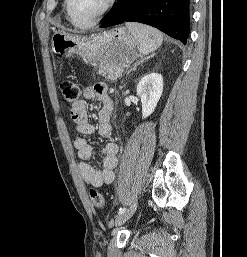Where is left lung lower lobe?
<instances>
[{
    "label": "left lung lower lobe",
    "instance_id": "left-lung-lower-lobe-1",
    "mask_svg": "<svg viewBox=\"0 0 247 257\" xmlns=\"http://www.w3.org/2000/svg\"><path fill=\"white\" fill-rule=\"evenodd\" d=\"M103 19L100 27L140 22L186 43L190 30L189 0H118Z\"/></svg>",
    "mask_w": 247,
    "mask_h": 257
}]
</instances>
